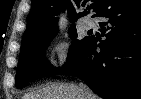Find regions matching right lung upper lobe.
Returning a JSON list of instances; mask_svg holds the SVG:
<instances>
[{
    "label": "right lung upper lobe",
    "mask_w": 141,
    "mask_h": 99,
    "mask_svg": "<svg viewBox=\"0 0 141 99\" xmlns=\"http://www.w3.org/2000/svg\"><path fill=\"white\" fill-rule=\"evenodd\" d=\"M113 0H32V8L27 18V28L23 36V43L27 44L51 33L57 32V15L60 11L68 9L71 21L75 22L78 17L87 15L89 12H80L78 15L75 8L88 5L94 6L95 14L99 16L110 8ZM89 6H87L88 9ZM74 26V25H72Z\"/></svg>",
    "instance_id": "1"
}]
</instances>
